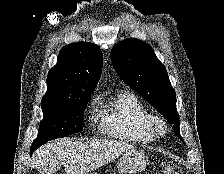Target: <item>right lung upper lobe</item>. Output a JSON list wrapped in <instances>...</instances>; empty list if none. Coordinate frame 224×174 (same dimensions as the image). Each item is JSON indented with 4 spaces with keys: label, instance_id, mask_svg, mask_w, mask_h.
<instances>
[{
    "label": "right lung upper lobe",
    "instance_id": "right-lung-upper-lobe-1",
    "mask_svg": "<svg viewBox=\"0 0 224 174\" xmlns=\"http://www.w3.org/2000/svg\"><path fill=\"white\" fill-rule=\"evenodd\" d=\"M103 66L100 49L91 43H73L59 53L57 64L47 76V92L42 100H70L90 96L97 86Z\"/></svg>",
    "mask_w": 224,
    "mask_h": 174
}]
</instances>
